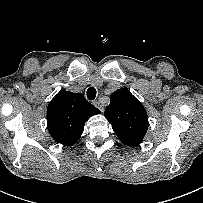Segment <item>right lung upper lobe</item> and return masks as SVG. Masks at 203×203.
Returning a JSON list of instances; mask_svg holds the SVG:
<instances>
[{
    "label": "right lung upper lobe",
    "mask_w": 203,
    "mask_h": 203,
    "mask_svg": "<svg viewBox=\"0 0 203 203\" xmlns=\"http://www.w3.org/2000/svg\"><path fill=\"white\" fill-rule=\"evenodd\" d=\"M100 110L90 104L82 94L60 92L47 108V125L52 138L64 146L73 145L80 138L85 122Z\"/></svg>",
    "instance_id": "cb5924a9"
}]
</instances>
